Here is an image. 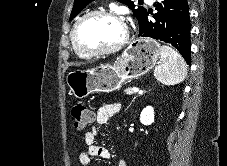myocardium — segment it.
I'll use <instances>...</instances> for the list:
<instances>
[{"instance_id":"obj_1","label":"myocardium","mask_w":227,"mask_h":166,"mask_svg":"<svg viewBox=\"0 0 227 166\" xmlns=\"http://www.w3.org/2000/svg\"><path fill=\"white\" fill-rule=\"evenodd\" d=\"M97 16L110 17L123 24L124 36L119 43H117L116 45H114L112 47L103 48V49H87V48H84L79 43V41L77 39V32H78L79 26L86 20H88L92 17H97ZM128 40H129V30H128V26L125 22V19L123 18V16L121 14H119L115 11H111V10H95V11H91V12L83 15L76 21V23L74 24V27L72 29V32H71V42H72V46H73L74 50L77 53H79L80 55L85 56V57H98V56H105V55L113 54V53L119 51L120 49H122L127 44Z\"/></svg>"}]
</instances>
